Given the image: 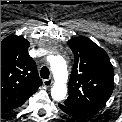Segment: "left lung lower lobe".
Instances as JSON below:
<instances>
[{
	"mask_svg": "<svg viewBox=\"0 0 122 122\" xmlns=\"http://www.w3.org/2000/svg\"><path fill=\"white\" fill-rule=\"evenodd\" d=\"M59 107L61 108V110H63L66 114L78 118V119H86L90 116L86 115L85 113H82L80 111L74 110L72 108H69L67 106H65L64 104L59 105Z\"/></svg>",
	"mask_w": 122,
	"mask_h": 122,
	"instance_id": "1",
	"label": "left lung lower lobe"
}]
</instances>
